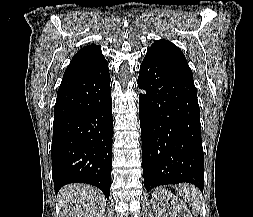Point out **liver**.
I'll use <instances>...</instances> for the list:
<instances>
[{"mask_svg": "<svg viewBox=\"0 0 253 217\" xmlns=\"http://www.w3.org/2000/svg\"><path fill=\"white\" fill-rule=\"evenodd\" d=\"M65 217H104L105 197L100 190L85 184H70L58 195Z\"/></svg>", "mask_w": 253, "mask_h": 217, "instance_id": "liver-1", "label": "liver"}]
</instances>
